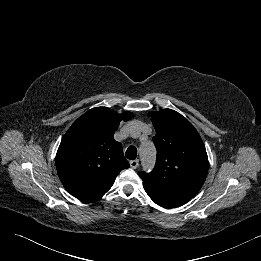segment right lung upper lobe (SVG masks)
<instances>
[{"label":"right lung upper lobe","instance_id":"cb5924a9","mask_svg":"<svg viewBox=\"0 0 261 261\" xmlns=\"http://www.w3.org/2000/svg\"><path fill=\"white\" fill-rule=\"evenodd\" d=\"M133 116L97 107L68 129L56 154V168L71 195L84 202L96 201L112 187L120 171L130 166L113 136L120 121Z\"/></svg>","mask_w":261,"mask_h":261}]
</instances>
